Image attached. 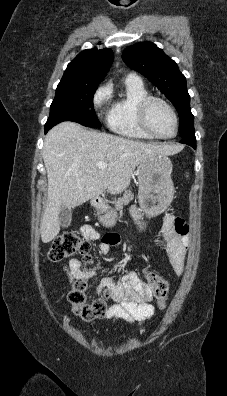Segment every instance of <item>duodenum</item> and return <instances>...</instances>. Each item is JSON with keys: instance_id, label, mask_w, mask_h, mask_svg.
I'll return each instance as SVG.
<instances>
[{"instance_id": "1", "label": "duodenum", "mask_w": 227, "mask_h": 396, "mask_svg": "<svg viewBox=\"0 0 227 396\" xmlns=\"http://www.w3.org/2000/svg\"><path fill=\"white\" fill-rule=\"evenodd\" d=\"M92 203L97 208H103L105 205L103 199L100 196H95L92 199Z\"/></svg>"}]
</instances>
